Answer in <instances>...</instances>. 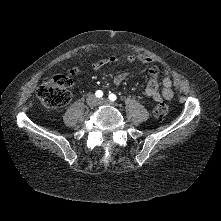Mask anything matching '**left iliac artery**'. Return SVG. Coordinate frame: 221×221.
<instances>
[{"label":"left iliac artery","instance_id":"obj_1","mask_svg":"<svg viewBox=\"0 0 221 221\" xmlns=\"http://www.w3.org/2000/svg\"><path fill=\"white\" fill-rule=\"evenodd\" d=\"M109 99H110L111 101H115V100L117 99V97H116L115 94H110V95H109Z\"/></svg>","mask_w":221,"mask_h":221}]
</instances>
